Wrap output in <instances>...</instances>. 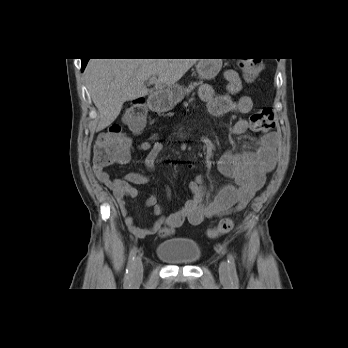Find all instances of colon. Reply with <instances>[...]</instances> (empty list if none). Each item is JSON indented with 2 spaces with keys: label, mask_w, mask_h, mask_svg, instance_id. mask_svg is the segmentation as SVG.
I'll return each mask as SVG.
<instances>
[{
  "label": "colon",
  "mask_w": 348,
  "mask_h": 348,
  "mask_svg": "<svg viewBox=\"0 0 348 348\" xmlns=\"http://www.w3.org/2000/svg\"><path fill=\"white\" fill-rule=\"evenodd\" d=\"M243 76L252 81L256 79L263 70V63L259 58L242 59L239 62ZM147 113L145 101L142 98L136 99L131 107L124 114V122L134 132H141L146 125ZM249 123L251 129L257 132H267L274 128L273 113L269 109H262L254 112ZM132 148L131 139L122 131L119 124L111 125L108 130L99 135L94 147V162L99 167H105L118 163L127 158ZM234 228L232 217L223 218L216 227L212 228L208 236L216 238L231 232ZM171 228L162 230V234H169Z\"/></svg>",
  "instance_id": "5ec220e1"
}]
</instances>
